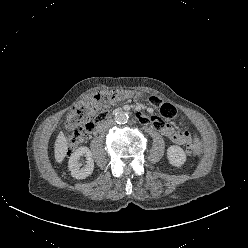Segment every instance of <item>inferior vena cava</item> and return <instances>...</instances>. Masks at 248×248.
Listing matches in <instances>:
<instances>
[{"instance_id":"obj_1","label":"inferior vena cava","mask_w":248,"mask_h":248,"mask_svg":"<svg viewBox=\"0 0 248 248\" xmlns=\"http://www.w3.org/2000/svg\"><path fill=\"white\" fill-rule=\"evenodd\" d=\"M114 124V121L112 119L110 120H106L104 122H102L100 125H99V128L101 131H104V130H107L109 129L110 127H112Z\"/></svg>"}]
</instances>
